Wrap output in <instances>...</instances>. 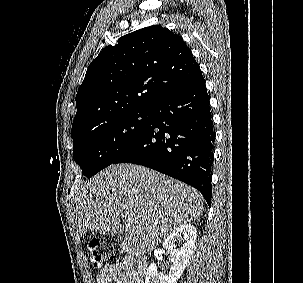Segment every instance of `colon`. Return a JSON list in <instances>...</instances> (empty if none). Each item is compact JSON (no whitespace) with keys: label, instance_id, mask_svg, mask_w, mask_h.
<instances>
[{"label":"colon","instance_id":"5ec220e1","mask_svg":"<svg viewBox=\"0 0 303 283\" xmlns=\"http://www.w3.org/2000/svg\"><path fill=\"white\" fill-rule=\"evenodd\" d=\"M86 251L91 267L96 271H104L116 255L112 244L98 238L90 239L86 243Z\"/></svg>","mask_w":303,"mask_h":283}]
</instances>
